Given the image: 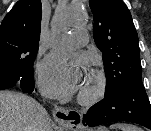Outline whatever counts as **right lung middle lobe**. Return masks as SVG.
Returning <instances> with one entry per match:
<instances>
[{
	"label": "right lung middle lobe",
	"mask_w": 151,
	"mask_h": 131,
	"mask_svg": "<svg viewBox=\"0 0 151 131\" xmlns=\"http://www.w3.org/2000/svg\"><path fill=\"white\" fill-rule=\"evenodd\" d=\"M36 55L18 46L0 52V77L7 78L10 84L33 77L32 66Z\"/></svg>",
	"instance_id": "right-lung-middle-lobe-1"
}]
</instances>
